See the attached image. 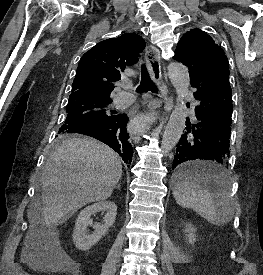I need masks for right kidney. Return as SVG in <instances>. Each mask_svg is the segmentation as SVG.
<instances>
[{
	"label": "right kidney",
	"instance_id": "right-kidney-1",
	"mask_svg": "<svg viewBox=\"0 0 263 275\" xmlns=\"http://www.w3.org/2000/svg\"><path fill=\"white\" fill-rule=\"evenodd\" d=\"M106 211L104 216V224H93L91 216L97 212ZM117 206L111 201L97 202L91 206L84 208L75 221L73 233V242L79 250H89L95 245L102 236L108 231L116 218ZM93 226V234L87 233V227Z\"/></svg>",
	"mask_w": 263,
	"mask_h": 275
}]
</instances>
